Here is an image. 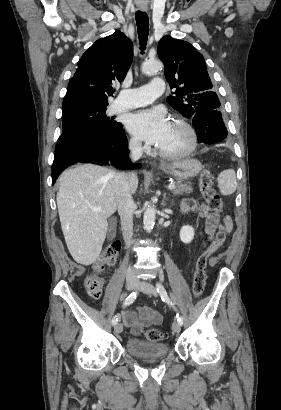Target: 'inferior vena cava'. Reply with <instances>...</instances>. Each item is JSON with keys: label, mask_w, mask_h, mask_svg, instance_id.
Listing matches in <instances>:
<instances>
[{"label": "inferior vena cava", "mask_w": 281, "mask_h": 410, "mask_svg": "<svg viewBox=\"0 0 281 410\" xmlns=\"http://www.w3.org/2000/svg\"><path fill=\"white\" fill-rule=\"evenodd\" d=\"M129 150L132 161H137L142 155L141 143L139 141L132 140L129 143ZM113 184L123 238L126 245L130 246L133 236L134 211V202L130 188V174L116 173L113 178ZM126 279L138 280L136 272L131 267L127 269Z\"/></svg>", "instance_id": "inferior-vena-cava-1"}]
</instances>
